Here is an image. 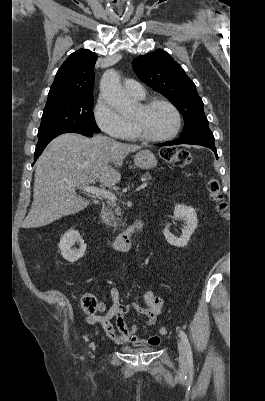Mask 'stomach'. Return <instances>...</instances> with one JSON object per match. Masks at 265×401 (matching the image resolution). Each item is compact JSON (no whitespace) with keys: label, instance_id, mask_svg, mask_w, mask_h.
<instances>
[{"label":"stomach","instance_id":"obj_1","mask_svg":"<svg viewBox=\"0 0 265 401\" xmlns=\"http://www.w3.org/2000/svg\"><path fill=\"white\" fill-rule=\"evenodd\" d=\"M134 162L136 166L140 168H154L157 164V158L151 150L145 148V150H139L134 156Z\"/></svg>","mask_w":265,"mask_h":401}]
</instances>
